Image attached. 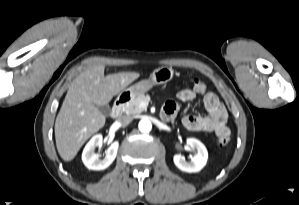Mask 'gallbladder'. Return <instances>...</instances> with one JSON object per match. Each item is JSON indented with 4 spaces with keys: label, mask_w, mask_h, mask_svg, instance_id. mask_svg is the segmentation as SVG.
I'll use <instances>...</instances> for the list:
<instances>
[{
    "label": "gallbladder",
    "mask_w": 299,
    "mask_h": 205,
    "mask_svg": "<svg viewBox=\"0 0 299 205\" xmlns=\"http://www.w3.org/2000/svg\"><path fill=\"white\" fill-rule=\"evenodd\" d=\"M97 108L99 109V111L104 114L105 116L110 115L111 113V108L109 105H102V106H97Z\"/></svg>",
    "instance_id": "obj_1"
}]
</instances>
